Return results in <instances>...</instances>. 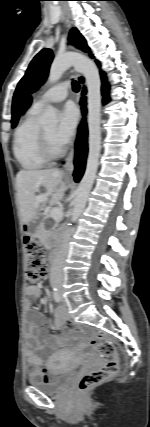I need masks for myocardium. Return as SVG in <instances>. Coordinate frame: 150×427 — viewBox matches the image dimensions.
Returning <instances> with one entry per match:
<instances>
[{
  "label": "myocardium",
  "mask_w": 150,
  "mask_h": 427,
  "mask_svg": "<svg viewBox=\"0 0 150 427\" xmlns=\"http://www.w3.org/2000/svg\"><path fill=\"white\" fill-rule=\"evenodd\" d=\"M39 152L47 162L60 158L64 153L62 149H54L43 129L39 132Z\"/></svg>",
  "instance_id": "myocardium-1"
}]
</instances>
